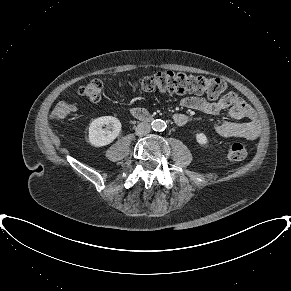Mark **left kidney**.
Returning a JSON list of instances; mask_svg holds the SVG:
<instances>
[{"label":"left kidney","mask_w":291,"mask_h":291,"mask_svg":"<svg viewBox=\"0 0 291 291\" xmlns=\"http://www.w3.org/2000/svg\"><path fill=\"white\" fill-rule=\"evenodd\" d=\"M196 140L201 145H205L208 143V138L204 133H197Z\"/></svg>","instance_id":"left-kidney-1"}]
</instances>
